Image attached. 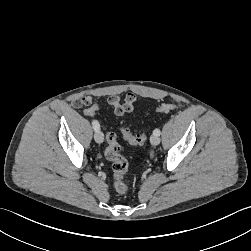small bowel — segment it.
Returning a JSON list of instances; mask_svg holds the SVG:
<instances>
[{
	"label": "small bowel",
	"mask_w": 251,
	"mask_h": 251,
	"mask_svg": "<svg viewBox=\"0 0 251 251\" xmlns=\"http://www.w3.org/2000/svg\"><path fill=\"white\" fill-rule=\"evenodd\" d=\"M136 95L133 93H128L125 96L124 102H121L120 98L116 95H112L108 98V103L114 109V112L117 116L125 118L128 114H130L134 110V104L136 102ZM93 99L90 96H84L82 98H78L77 100H73L70 103V106L77 111L87 108L95 107V103H92ZM99 108V106H98ZM83 111V112H84ZM97 112V109L95 110ZM95 112V114H96Z\"/></svg>",
	"instance_id": "c3829d8e"
}]
</instances>
